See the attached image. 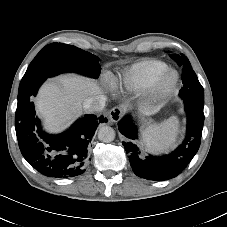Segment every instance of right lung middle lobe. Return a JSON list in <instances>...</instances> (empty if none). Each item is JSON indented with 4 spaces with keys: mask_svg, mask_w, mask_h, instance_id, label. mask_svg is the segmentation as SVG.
<instances>
[{
    "mask_svg": "<svg viewBox=\"0 0 227 227\" xmlns=\"http://www.w3.org/2000/svg\"><path fill=\"white\" fill-rule=\"evenodd\" d=\"M98 61L97 56L75 46L63 43L49 44L30 63L20 82L19 90L64 72H77L97 78L101 69Z\"/></svg>",
    "mask_w": 227,
    "mask_h": 227,
    "instance_id": "1",
    "label": "right lung middle lobe"
}]
</instances>
